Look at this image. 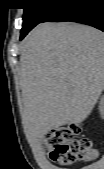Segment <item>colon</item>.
<instances>
[{"label":"colon","instance_id":"1","mask_svg":"<svg viewBox=\"0 0 104 169\" xmlns=\"http://www.w3.org/2000/svg\"><path fill=\"white\" fill-rule=\"evenodd\" d=\"M79 124H67L52 129L43 139L45 150L50 160L60 166L76 162H85L97 157L88 138H79Z\"/></svg>","mask_w":104,"mask_h":169}]
</instances>
